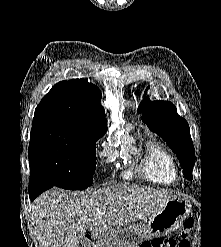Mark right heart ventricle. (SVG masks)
<instances>
[{"instance_id": "obj_1", "label": "right heart ventricle", "mask_w": 221, "mask_h": 247, "mask_svg": "<svg viewBox=\"0 0 221 247\" xmlns=\"http://www.w3.org/2000/svg\"><path fill=\"white\" fill-rule=\"evenodd\" d=\"M136 173L147 181L157 184H172L177 179L172 155L154 139L146 141L140 164L135 169L125 172L124 177L131 178Z\"/></svg>"}]
</instances>
